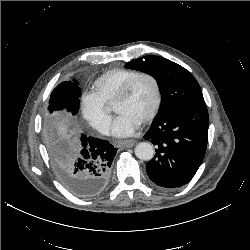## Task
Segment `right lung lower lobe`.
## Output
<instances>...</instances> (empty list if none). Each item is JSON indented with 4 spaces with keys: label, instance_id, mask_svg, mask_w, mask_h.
Instances as JSON below:
<instances>
[{
    "label": "right lung lower lobe",
    "instance_id": "right-lung-lower-lobe-1",
    "mask_svg": "<svg viewBox=\"0 0 250 250\" xmlns=\"http://www.w3.org/2000/svg\"><path fill=\"white\" fill-rule=\"evenodd\" d=\"M116 151L106 140L82 135L77 156L60 162L59 175L73 194L81 198L94 197L109 181Z\"/></svg>",
    "mask_w": 250,
    "mask_h": 250
}]
</instances>
